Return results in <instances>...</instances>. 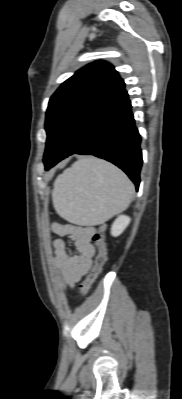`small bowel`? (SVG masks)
I'll list each match as a JSON object with an SVG mask.
<instances>
[{"label":"small bowel","instance_id":"obj_1","mask_svg":"<svg viewBox=\"0 0 182 399\" xmlns=\"http://www.w3.org/2000/svg\"><path fill=\"white\" fill-rule=\"evenodd\" d=\"M52 230L59 236L52 241L54 254L51 257L58 286L73 289L92 266L95 254L92 237L95 227L54 223Z\"/></svg>","mask_w":182,"mask_h":399}]
</instances>
